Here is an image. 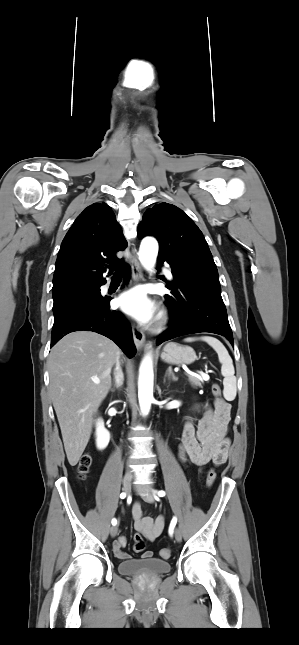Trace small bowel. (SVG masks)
<instances>
[{
    "label": "small bowel",
    "instance_id": "c3829d8e",
    "mask_svg": "<svg viewBox=\"0 0 299 645\" xmlns=\"http://www.w3.org/2000/svg\"><path fill=\"white\" fill-rule=\"evenodd\" d=\"M203 415L197 426L187 419L183 426L178 456L183 464L191 462L204 467L210 462L222 465L229 454L230 439L227 436L230 422V405L224 400H215L212 405L202 407ZM134 527L138 535L149 541H154L164 529L165 519L159 516L153 519L144 516L141 505L135 502L132 506ZM127 543L125 536H120L113 545L114 554L118 559L128 560L130 556L123 551ZM152 552L147 551L143 558H151Z\"/></svg>",
    "mask_w": 299,
    "mask_h": 645
}]
</instances>
